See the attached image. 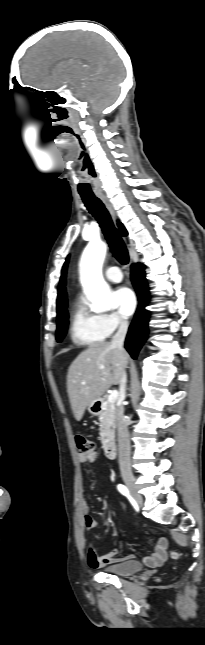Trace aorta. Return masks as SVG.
<instances>
[{
  "label": "aorta",
  "mask_w": 205,
  "mask_h": 645,
  "mask_svg": "<svg viewBox=\"0 0 205 645\" xmlns=\"http://www.w3.org/2000/svg\"><path fill=\"white\" fill-rule=\"evenodd\" d=\"M105 254L106 245L103 242H90L83 252L80 263L81 283L92 303L91 308L96 312L108 311L114 305L109 287L102 276Z\"/></svg>",
  "instance_id": "aorta-1"
}]
</instances>
